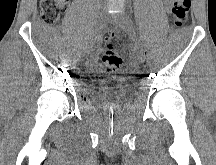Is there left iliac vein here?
Returning a JSON list of instances; mask_svg holds the SVG:
<instances>
[{
    "label": "left iliac vein",
    "mask_w": 216,
    "mask_h": 165,
    "mask_svg": "<svg viewBox=\"0 0 216 165\" xmlns=\"http://www.w3.org/2000/svg\"><path fill=\"white\" fill-rule=\"evenodd\" d=\"M109 20L118 25L121 29H123L134 41L135 57L140 63H143L146 59L145 52L142 45L137 40V35L134 26L130 21L129 17L125 13H118L110 15Z\"/></svg>",
    "instance_id": "4c4485c4"
}]
</instances>
